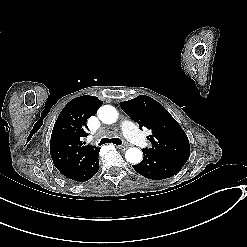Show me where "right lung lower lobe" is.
<instances>
[{
	"label": "right lung lower lobe",
	"instance_id": "obj_1",
	"mask_svg": "<svg viewBox=\"0 0 247 247\" xmlns=\"http://www.w3.org/2000/svg\"><path fill=\"white\" fill-rule=\"evenodd\" d=\"M99 151L100 148L95 150L77 168L65 174V177L77 182H85L91 179L99 170Z\"/></svg>",
	"mask_w": 247,
	"mask_h": 247
}]
</instances>
